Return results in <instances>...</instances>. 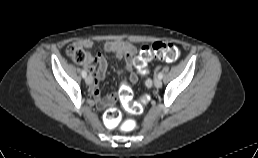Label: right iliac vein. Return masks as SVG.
<instances>
[{
	"mask_svg": "<svg viewBox=\"0 0 258 158\" xmlns=\"http://www.w3.org/2000/svg\"><path fill=\"white\" fill-rule=\"evenodd\" d=\"M85 82H86L87 85H90V84L92 83V78H91V76H87V77L85 78Z\"/></svg>",
	"mask_w": 258,
	"mask_h": 158,
	"instance_id": "1",
	"label": "right iliac vein"
}]
</instances>
